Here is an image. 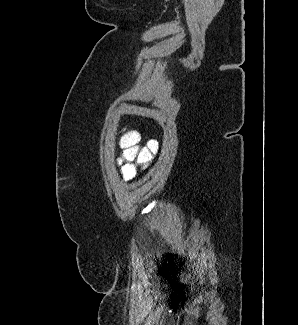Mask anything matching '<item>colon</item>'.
<instances>
[{"label": "colon", "instance_id": "colon-1", "mask_svg": "<svg viewBox=\"0 0 298 325\" xmlns=\"http://www.w3.org/2000/svg\"><path fill=\"white\" fill-rule=\"evenodd\" d=\"M140 137L137 132L125 131L120 138V155L118 164L122 178L132 179L136 174V165L147 166L152 158V153L148 148L139 146Z\"/></svg>", "mask_w": 298, "mask_h": 325}]
</instances>
